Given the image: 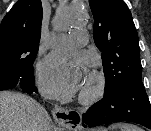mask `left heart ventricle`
I'll list each match as a JSON object with an SVG mask.
<instances>
[{
    "instance_id": "b2bd125f",
    "label": "left heart ventricle",
    "mask_w": 151,
    "mask_h": 131,
    "mask_svg": "<svg viewBox=\"0 0 151 131\" xmlns=\"http://www.w3.org/2000/svg\"><path fill=\"white\" fill-rule=\"evenodd\" d=\"M88 85H89V81H87V83L84 85V89L83 90H85Z\"/></svg>"
}]
</instances>
